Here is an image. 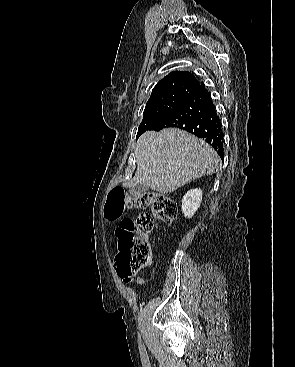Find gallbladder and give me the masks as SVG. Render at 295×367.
<instances>
[{
	"mask_svg": "<svg viewBox=\"0 0 295 367\" xmlns=\"http://www.w3.org/2000/svg\"><path fill=\"white\" fill-rule=\"evenodd\" d=\"M148 189L147 186L143 185V184H137L133 187V192L135 194H140V193H143L145 192L146 190Z\"/></svg>",
	"mask_w": 295,
	"mask_h": 367,
	"instance_id": "bac80fb5",
	"label": "gallbladder"
}]
</instances>
